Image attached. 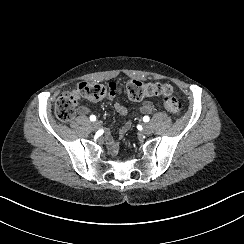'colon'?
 Returning a JSON list of instances; mask_svg holds the SVG:
<instances>
[{
	"label": "colon",
	"mask_w": 244,
	"mask_h": 244,
	"mask_svg": "<svg viewBox=\"0 0 244 244\" xmlns=\"http://www.w3.org/2000/svg\"><path fill=\"white\" fill-rule=\"evenodd\" d=\"M124 91L133 101H141L151 97L163 98L166 111L172 116L181 112V104L173 94L171 85L159 82L144 83L133 79L124 85ZM109 94L108 87L100 82H82L77 89L64 92L55 105V114L61 121H70L76 114L79 97L90 101H98Z\"/></svg>",
	"instance_id": "1"
}]
</instances>
